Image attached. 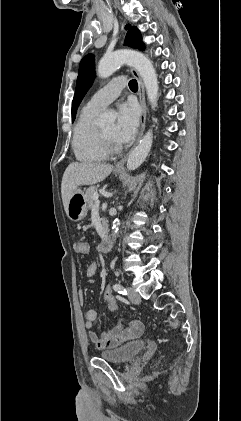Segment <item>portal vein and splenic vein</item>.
Returning <instances> with one entry per match:
<instances>
[{
    "label": "portal vein and splenic vein",
    "instance_id": "18ae733b",
    "mask_svg": "<svg viewBox=\"0 0 241 421\" xmlns=\"http://www.w3.org/2000/svg\"><path fill=\"white\" fill-rule=\"evenodd\" d=\"M98 197H99L98 193L97 192L94 193V196H93L94 204L92 206L93 208H98L100 205V201L98 200Z\"/></svg>",
    "mask_w": 241,
    "mask_h": 421
}]
</instances>
